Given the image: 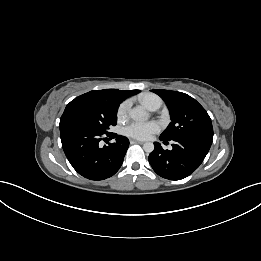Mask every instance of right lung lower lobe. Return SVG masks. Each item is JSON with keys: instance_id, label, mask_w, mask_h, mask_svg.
I'll list each match as a JSON object with an SVG mask.
<instances>
[{"instance_id": "obj_1", "label": "right lung lower lobe", "mask_w": 261, "mask_h": 261, "mask_svg": "<svg viewBox=\"0 0 261 261\" xmlns=\"http://www.w3.org/2000/svg\"><path fill=\"white\" fill-rule=\"evenodd\" d=\"M64 153L72 167L90 180H104L121 167L129 140L114 133L100 134L79 127H60ZM115 138L108 146H99L102 137Z\"/></svg>"}]
</instances>
